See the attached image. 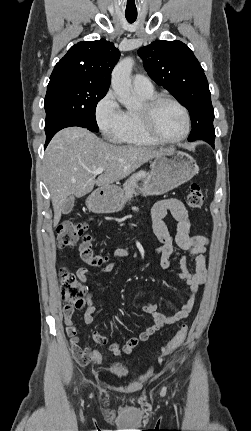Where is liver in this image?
Wrapping results in <instances>:
<instances>
[{
  "instance_id": "1",
  "label": "liver",
  "mask_w": 251,
  "mask_h": 431,
  "mask_svg": "<svg viewBox=\"0 0 251 431\" xmlns=\"http://www.w3.org/2000/svg\"><path fill=\"white\" fill-rule=\"evenodd\" d=\"M167 149L111 145L85 128L69 127L59 131L45 151L44 180L49 188L57 226L62 207L71 196L81 198L94 186L106 188L126 178L149 160ZM104 168L97 179L93 171Z\"/></svg>"
}]
</instances>
